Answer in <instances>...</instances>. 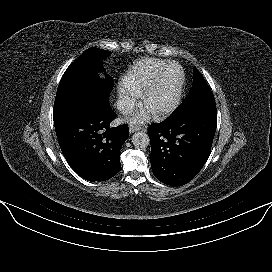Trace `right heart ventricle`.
<instances>
[{
  "instance_id": "right-heart-ventricle-1",
  "label": "right heart ventricle",
  "mask_w": 272,
  "mask_h": 272,
  "mask_svg": "<svg viewBox=\"0 0 272 272\" xmlns=\"http://www.w3.org/2000/svg\"><path fill=\"white\" fill-rule=\"evenodd\" d=\"M168 63L166 60L157 58L140 59L126 71L122 84L139 95Z\"/></svg>"
}]
</instances>
